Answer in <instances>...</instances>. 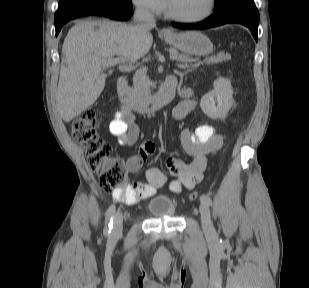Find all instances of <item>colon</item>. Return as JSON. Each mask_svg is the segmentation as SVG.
<instances>
[{
  "instance_id": "1",
  "label": "colon",
  "mask_w": 309,
  "mask_h": 288,
  "mask_svg": "<svg viewBox=\"0 0 309 288\" xmlns=\"http://www.w3.org/2000/svg\"><path fill=\"white\" fill-rule=\"evenodd\" d=\"M98 114L94 108L82 110L72 121L71 136L87 156L90 169L97 173L101 188L106 192H117L127 188V166L112 155L111 146L98 134ZM199 193L192 191L189 199L196 201Z\"/></svg>"
}]
</instances>
